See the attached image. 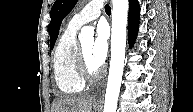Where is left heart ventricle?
<instances>
[{"instance_id": "1", "label": "left heart ventricle", "mask_w": 193, "mask_h": 112, "mask_svg": "<svg viewBox=\"0 0 193 112\" xmlns=\"http://www.w3.org/2000/svg\"><path fill=\"white\" fill-rule=\"evenodd\" d=\"M81 46H82V49L85 55V59H86L89 69L92 72L97 71L100 68V66H98L92 58L93 40L84 41L81 43Z\"/></svg>"}]
</instances>
